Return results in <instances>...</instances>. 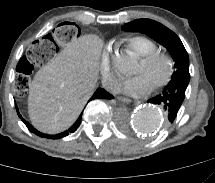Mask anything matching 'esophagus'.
<instances>
[{
  "label": "esophagus",
  "mask_w": 215,
  "mask_h": 183,
  "mask_svg": "<svg viewBox=\"0 0 215 183\" xmlns=\"http://www.w3.org/2000/svg\"><path fill=\"white\" fill-rule=\"evenodd\" d=\"M118 100L126 104H129L132 101L130 98L123 97V96L118 97Z\"/></svg>",
  "instance_id": "34e87169"
}]
</instances>
